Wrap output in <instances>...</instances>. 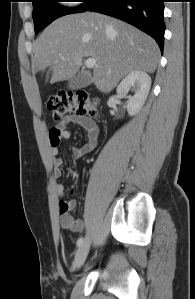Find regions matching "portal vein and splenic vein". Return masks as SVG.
<instances>
[{
    "instance_id": "portal-vein-and-splenic-vein-1",
    "label": "portal vein and splenic vein",
    "mask_w": 195,
    "mask_h": 299,
    "mask_svg": "<svg viewBox=\"0 0 195 299\" xmlns=\"http://www.w3.org/2000/svg\"><path fill=\"white\" fill-rule=\"evenodd\" d=\"M85 65L88 69H92L96 65V60L94 58H88L85 60Z\"/></svg>"
}]
</instances>
